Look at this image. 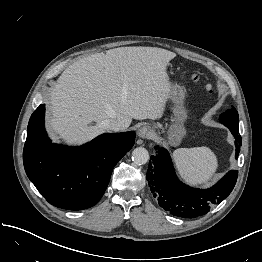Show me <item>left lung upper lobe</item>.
Masks as SVG:
<instances>
[{"instance_id": "1", "label": "left lung upper lobe", "mask_w": 262, "mask_h": 262, "mask_svg": "<svg viewBox=\"0 0 262 262\" xmlns=\"http://www.w3.org/2000/svg\"><path fill=\"white\" fill-rule=\"evenodd\" d=\"M220 122L225 126L239 127L238 112L234 107L228 109L220 116Z\"/></svg>"}]
</instances>
